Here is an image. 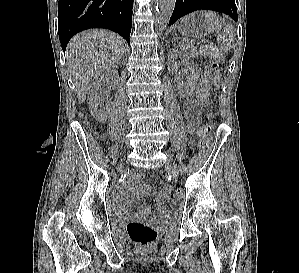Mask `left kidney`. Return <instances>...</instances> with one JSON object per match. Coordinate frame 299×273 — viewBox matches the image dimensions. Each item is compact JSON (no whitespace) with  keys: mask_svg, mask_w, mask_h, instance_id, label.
<instances>
[{"mask_svg":"<svg viewBox=\"0 0 299 273\" xmlns=\"http://www.w3.org/2000/svg\"><path fill=\"white\" fill-rule=\"evenodd\" d=\"M177 60L184 65V71L187 75V82H182L178 89L182 96H189L195 90V86L199 79V72L195 68L193 61L184 53L178 50H170L168 53V71L175 73L178 69Z\"/></svg>","mask_w":299,"mask_h":273,"instance_id":"left-kidney-1","label":"left kidney"}]
</instances>
